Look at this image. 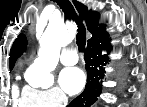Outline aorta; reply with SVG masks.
I'll return each mask as SVG.
<instances>
[{
	"instance_id": "aorta-1",
	"label": "aorta",
	"mask_w": 147,
	"mask_h": 107,
	"mask_svg": "<svg viewBox=\"0 0 147 107\" xmlns=\"http://www.w3.org/2000/svg\"><path fill=\"white\" fill-rule=\"evenodd\" d=\"M71 41V37L62 21L49 22L40 39L38 58L29 68L34 78V85L48 88L53 84L51 72L56 68L60 50Z\"/></svg>"
}]
</instances>
